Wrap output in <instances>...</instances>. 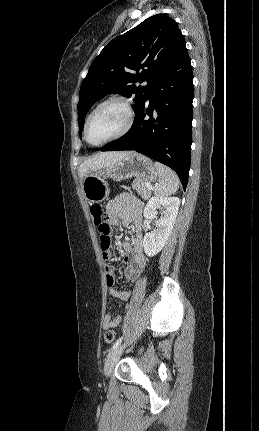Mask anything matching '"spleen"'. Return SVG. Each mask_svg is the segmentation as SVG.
Segmentation results:
<instances>
[{
	"label": "spleen",
	"instance_id": "spleen-1",
	"mask_svg": "<svg viewBox=\"0 0 259 431\" xmlns=\"http://www.w3.org/2000/svg\"><path fill=\"white\" fill-rule=\"evenodd\" d=\"M154 166L159 176V187L156 191V195L167 197L174 194L179 188V178L176 173L159 162H155Z\"/></svg>",
	"mask_w": 259,
	"mask_h": 431
}]
</instances>
